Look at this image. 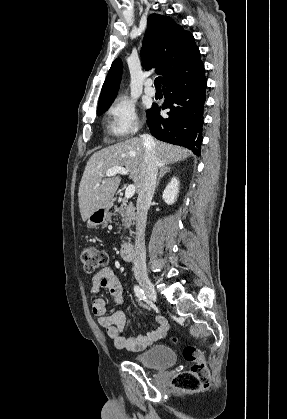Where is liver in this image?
<instances>
[{"label": "liver", "instance_id": "6515ba94", "mask_svg": "<svg viewBox=\"0 0 287 419\" xmlns=\"http://www.w3.org/2000/svg\"><path fill=\"white\" fill-rule=\"evenodd\" d=\"M155 151L159 166L182 161L192 153L179 146L155 140ZM145 148L143 140L134 137L95 152L88 160L80 185L79 209L83 221L96 210L106 207L118 189V176L105 178L106 172L114 167H125L129 178L139 192L143 178Z\"/></svg>", "mask_w": 287, "mask_h": 419}]
</instances>
